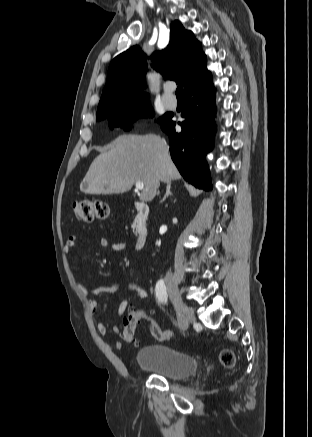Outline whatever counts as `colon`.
<instances>
[{
	"instance_id": "obj_1",
	"label": "colon",
	"mask_w": 312,
	"mask_h": 437,
	"mask_svg": "<svg viewBox=\"0 0 312 437\" xmlns=\"http://www.w3.org/2000/svg\"><path fill=\"white\" fill-rule=\"evenodd\" d=\"M74 216L81 221L92 222L94 220L106 219L110 210L108 205L97 199L84 198L74 201L72 205ZM147 321L152 336L159 341H166L174 337V333L169 330H162L153 315L146 313L143 309L131 310L123 318V339L130 344H136L135 330L140 321ZM220 362L226 368H233L236 363L234 353L229 349L220 352Z\"/></svg>"
}]
</instances>
